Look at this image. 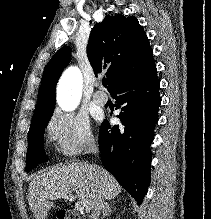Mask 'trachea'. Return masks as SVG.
<instances>
[{
  "label": "trachea",
  "instance_id": "trachea-1",
  "mask_svg": "<svg viewBox=\"0 0 211 219\" xmlns=\"http://www.w3.org/2000/svg\"><path fill=\"white\" fill-rule=\"evenodd\" d=\"M108 84L107 80H103V86L106 87Z\"/></svg>",
  "mask_w": 211,
  "mask_h": 219
}]
</instances>
